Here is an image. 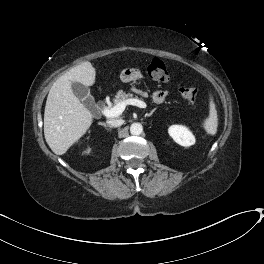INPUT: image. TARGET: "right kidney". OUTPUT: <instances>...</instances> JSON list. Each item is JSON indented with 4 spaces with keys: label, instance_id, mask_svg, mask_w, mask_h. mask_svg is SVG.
<instances>
[{
    "label": "right kidney",
    "instance_id": "right-kidney-1",
    "mask_svg": "<svg viewBox=\"0 0 264 264\" xmlns=\"http://www.w3.org/2000/svg\"><path fill=\"white\" fill-rule=\"evenodd\" d=\"M90 151H91V149H88V150H87V153H89Z\"/></svg>",
    "mask_w": 264,
    "mask_h": 264
}]
</instances>
